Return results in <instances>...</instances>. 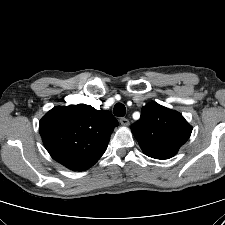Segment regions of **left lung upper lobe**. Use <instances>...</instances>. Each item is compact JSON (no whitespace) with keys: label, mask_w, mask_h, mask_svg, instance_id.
I'll return each instance as SVG.
<instances>
[{"label":"left lung upper lobe","mask_w":225,"mask_h":225,"mask_svg":"<svg viewBox=\"0 0 225 225\" xmlns=\"http://www.w3.org/2000/svg\"><path fill=\"white\" fill-rule=\"evenodd\" d=\"M131 131L142 151L155 159H169L188 140L192 127L182 114L156 102L146 104Z\"/></svg>","instance_id":"obj_1"}]
</instances>
